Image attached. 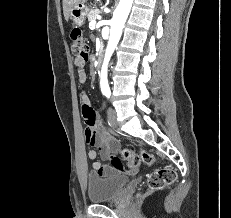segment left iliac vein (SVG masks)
I'll return each instance as SVG.
<instances>
[{
	"label": "left iliac vein",
	"mask_w": 231,
	"mask_h": 218,
	"mask_svg": "<svg viewBox=\"0 0 231 218\" xmlns=\"http://www.w3.org/2000/svg\"><path fill=\"white\" fill-rule=\"evenodd\" d=\"M107 115L110 124L116 128L118 126V122H117L115 110L112 107L108 108Z\"/></svg>",
	"instance_id": "left-iliac-vein-1"
}]
</instances>
